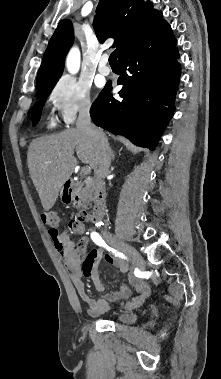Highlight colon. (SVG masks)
<instances>
[{"label":"colon","mask_w":221,"mask_h":379,"mask_svg":"<svg viewBox=\"0 0 221 379\" xmlns=\"http://www.w3.org/2000/svg\"><path fill=\"white\" fill-rule=\"evenodd\" d=\"M75 207L78 210L77 216L70 223V228L76 233H82L84 231L85 223L89 220V205L84 200H79L75 203ZM43 223L49 228L50 234H56L60 226V216L56 211L45 212L41 215ZM85 247V242L79 243V248L82 250ZM83 264L85 262L83 261Z\"/></svg>","instance_id":"colon-1"}]
</instances>
